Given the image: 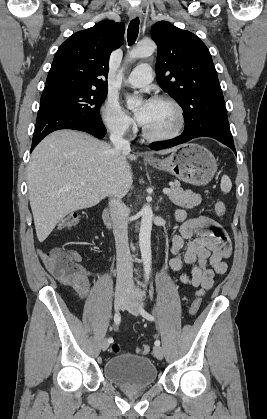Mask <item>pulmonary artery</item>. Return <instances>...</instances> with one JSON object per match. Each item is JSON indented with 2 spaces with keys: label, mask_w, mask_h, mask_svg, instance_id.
<instances>
[{
  "label": "pulmonary artery",
  "mask_w": 267,
  "mask_h": 419,
  "mask_svg": "<svg viewBox=\"0 0 267 419\" xmlns=\"http://www.w3.org/2000/svg\"><path fill=\"white\" fill-rule=\"evenodd\" d=\"M153 79L152 68L148 64L138 65L128 76L126 83L133 87L148 85Z\"/></svg>",
  "instance_id": "1"
}]
</instances>
